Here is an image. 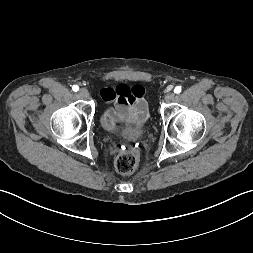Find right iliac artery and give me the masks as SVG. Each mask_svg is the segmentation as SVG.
Masks as SVG:
<instances>
[{
	"label": "right iliac artery",
	"mask_w": 253,
	"mask_h": 253,
	"mask_svg": "<svg viewBox=\"0 0 253 253\" xmlns=\"http://www.w3.org/2000/svg\"><path fill=\"white\" fill-rule=\"evenodd\" d=\"M72 89H73V91L77 92V91L79 90V87H78L77 85H74V86L72 87Z\"/></svg>",
	"instance_id": "obj_1"
}]
</instances>
